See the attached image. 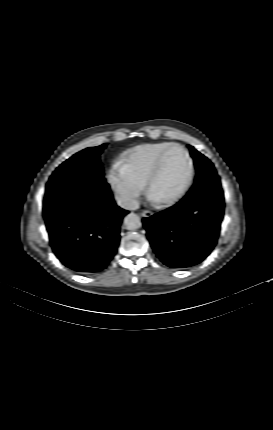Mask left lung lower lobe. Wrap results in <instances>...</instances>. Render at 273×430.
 <instances>
[{
	"label": "left lung lower lobe",
	"mask_w": 273,
	"mask_h": 430,
	"mask_svg": "<svg viewBox=\"0 0 273 430\" xmlns=\"http://www.w3.org/2000/svg\"><path fill=\"white\" fill-rule=\"evenodd\" d=\"M224 205L219 176L203 174L176 205L143 219L156 255L176 269L202 262L217 243Z\"/></svg>",
	"instance_id": "obj_1"
}]
</instances>
